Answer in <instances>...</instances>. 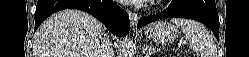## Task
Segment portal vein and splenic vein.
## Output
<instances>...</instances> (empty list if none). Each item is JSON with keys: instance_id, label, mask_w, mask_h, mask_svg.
I'll list each match as a JSON object with an SVG mask.
<instances>
[{"instance_id": "obj_1", "label": "portal vein and splenic vein", "mask_w": 249, "mask_h": 57, "mask_svg": "<svg viewBox=\"0 0 249 57\" xmlns=\"http://www.w3.org/2000/svg\"><path fill=\"white\" fill-rule=\"evenodd\" d=\"M180 43H181L182 45H184V44H185V41H181Z\"/></svg>"}]
</instances>
